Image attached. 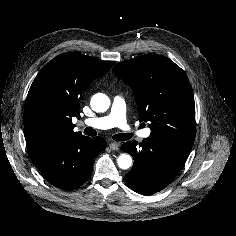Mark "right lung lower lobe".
<instances>
[{
    "label": "right lung lower lobe",
    "instance_id": "right-lung-lower-lobe-1",
    "mask_svg": "<svg viewBox=\"0 0 236 236\" xmlns=\"http://www.w3.org/2000/svg\"><path fill=\"white\" fill-rule=\"evenodd\" d=\"M105 148L106 141L101 137H71L30 158L47 181L69 191L89 179L94 159Z\"/></svg>",
    "mask_w": 236,
    "mask_h": 236
}]
</instances>
